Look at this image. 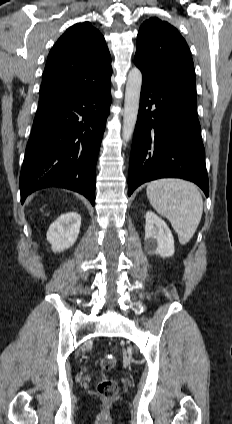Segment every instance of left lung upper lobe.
<instances>
[{
    "mask_svg": "<svg viewBox=\"0 0 232 424\" xmlns=\"http://www.w3.org/2000/svg\"><path fill=\"white\" fill-rule=\"evenodd\" d=\"M134 62L143 81L195 85L193 60L186 41L173 26L158 18L152 17L141 25Z\"/></svg>",
    "mask_w": 232,
    "mask_h": 424,
    "instance_id": "1",
    "label": "left lung upper lobe"
}]
</instances>
